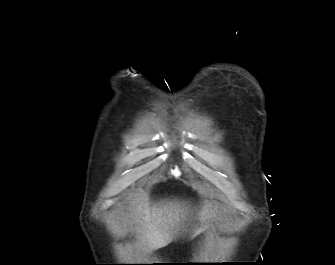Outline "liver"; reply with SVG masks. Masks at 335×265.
<instances>
[{
	"mask_svg": "<svg viewBox=\"0 0 335 265\" xmlns=\"http://www.w3.org/2000/svg\"><path fill=\"white\" fill-rule=\"evenodd\" d=\"M139 212L144 215L141 232L145 235L150 249H159L168 245L174 233L180 230L181 223L186 220L188 208L181 203L158 204L152 211L146 204L144 209L139 207Z\"/></svg>",
	"mask_w": 335,
	"mask_h": 265,
	"instance_id": "obj_1",
	"label": "liver"
}]
</instances>
